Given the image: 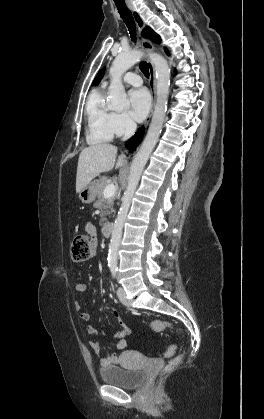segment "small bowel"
<instances>
[{
	"instance_id": "small-bowel-1",
	"label": "small bowel",
	"mask_w": 264,
	"mask_h": 419,
	"mask_svg": "<svg viewBox=\"0 0 264 419\" xmlns=\"http://www.w3.org/2000/svg\"><path fill=\"white\" fill-rule=\"evenodd\" d=\"M86 231L90 238L91 256H94L96 252V248H97V229L95 225H93L92 223H88L86 225ZM75 289L77 292H85L88 289V285L86 283L80 282L76 284ZM75 308L79 312V317L81 318V320L85 322H89L91 320L90 313L83 310L82 305L79 302L75 303ZM120 324H121V328L114 334L115 348L117 352H120L125 349L126 347L125 337L130 333V330L126 324H124L121 321H120ZM86 329H87L88 334L90 335L96 334V329L91 324H88ZM90 346L93 349V351L96 353V355L99 356L100 364L102 367L113 366L120 363V356L117 354V352L110 355H103L102 347L100 343L97 341H91Z\"/></svg>"
}]
</instances>
